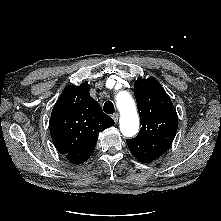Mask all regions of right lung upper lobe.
<instances>
[{
  "mask_svg": "<svg viewBox=\"0 0 221 221\" xmlns=\"http://www.w3.org/2000/svg\"><path fill=\"white\" fill-rule=\"evenodd\" d=\"M90 86L70 85L61 93L50 118V133L56 149L73 164L84 163L93 153L99 132L114 125L90 97Z\"/></svg>",
  "mask_w": 221,
  "mask_h": 221,
  "instance_id": "right-lung-upper-lobe-1",
  "label": "right lung upper lobe"
}]
</instances>
